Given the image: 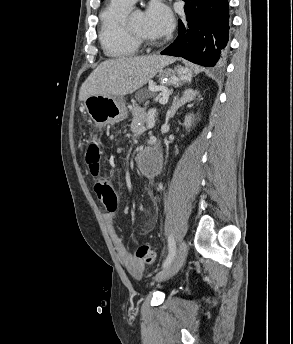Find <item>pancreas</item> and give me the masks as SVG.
Listing matches in <instances>:
<instances>
[{
  "instance_id": "obj_1",
  "label": "pancreas",
  "mask_w": 293,
  "mask_h": 344,
  "mask_svg": "<svg viewBox=\"0 0 293 344\" xmlns=\"http://www.w3.org/2000/svg\"><path fill=\"white\" fill-rule=\"evenodd\" d=\"M151 96V93L148 92L147 97ZM132 114H133V123H138L140 122L141 124H143L146 121V112L144 111V109L138 108V109H133L132 110Z\"/></svg>"
}]
</instances>
